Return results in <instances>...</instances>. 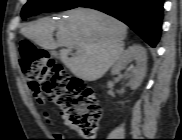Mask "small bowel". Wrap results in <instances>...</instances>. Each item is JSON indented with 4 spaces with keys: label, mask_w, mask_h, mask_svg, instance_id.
I'll return each mask as SVG.
<instances>
[{
    "label": "small bowel",
    "mask_w": 182,
    "mask_h": 140,
    "mask_svg": "<svg viewBox=\"0 0 182 140\" xmlns=\"http://www.w3.org/2000/svg\"><path fill=\"white\" fill-rule=\"evenodd\" d=\"M39 102H41V103H42V100H39ZM45 118L47 119V121H48V122H50V118H49V116H48V114H47V113H45Z\"/></svg>",
    "instance_id": "small-bowel-1"
}]
</instances>
